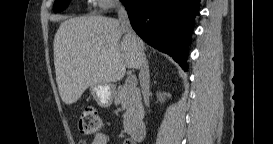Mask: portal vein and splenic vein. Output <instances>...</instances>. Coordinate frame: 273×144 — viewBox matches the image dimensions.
<instances>
[{
  "label": "portal vein and splenic vein",
  "mask_w": 273,
  "mask_h": 144,
  "mask_svg": "<svg viewBox=\"0 0 273 144\" xmlns=\"http://www.w3.org/2000/svg\"><path fill=\"white\" fill-rule=\"evenodd\" d=\"M126 84L129 85L130 87L136 86L137 84L136 77L133 75L129 76L126 80Z\"/></svg>",
  "instance_id": "portal-vein-and-splenic-vein-1"
}]
</instances>
